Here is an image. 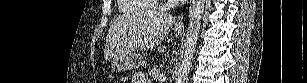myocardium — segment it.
<instances>
[{
	"mask_svg": "<svg viewBox=\"0 0 307 83\" xmlns=\"http://www.w3.org/2000/svg\"><path fill=\"white\" fill-rule=\"evenodd\" d=\"M156 7L162 12L165 13L171 8H173V4L170 1H156Z\"/></svg>",
	"mask_w": 307,
	"mask_h": 83,
	"instance_id": "myocardium-1",
	"label": "myocardium"
}]
</instances>
